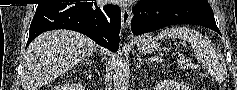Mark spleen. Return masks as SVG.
<instances>
[{
	"label": "spleen",
	"instance_id": "obj_1",
	"mask_svg": "<svg viewBox=\"0 0 237 90\" xmlns=\"http://www.w3.org/2000/svg\"><path fill=\"white\" fill-rule=\"evenodd\" d=\"M169 38L187 40L190 48L195 52L197 60L208 64L211 44L205 36L195 32V30H190V28H178V26H175V28H164L157 36V40H169Z\"/></svg>",
	"mask_w": 237,
	"mask_h": 90
}]
</instances>
